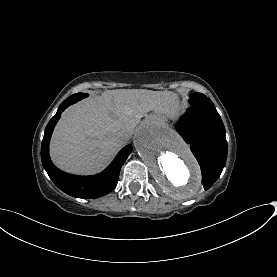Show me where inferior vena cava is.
Instances as JSON below:
<instances>
[{
    "label": "inferior vena cava",
    "mask_w": 277,
    "mask_h": 277,
    "mask_svg": "<svg viewBox=\"0 0 277 277\" xmlns=\"http://www.w3.org/2000/svg\"><path fill=\"white\" fill-rule=\"evenodd\" d=\"M116 135L119 140L126 142L130 135V131H118Z\"/></svg>",
    "instance_id": "inferior-vena-cava-1"
}]
</instances>
